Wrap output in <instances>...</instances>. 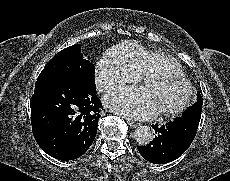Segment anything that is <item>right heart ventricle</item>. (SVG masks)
<instances>
[{
    "label": "right heart ventricle",
    "instance_id": "obj_1",
    "mask_svg": "<svg viewBox=\"0 0 230 181\" xmlns=\"http://www.w3.org/2000/svg\"><path fill=\"white\" fill-rule=\"evenodd\" d=\"M106 56L110 64L126 71L134 79H141L150 72L184 75L180 65L172 57L151 50L138 41H125L113 46Z\"/></svg>",
    "mask_w": 230,
    "mask_h": 181
}]
</instances>
